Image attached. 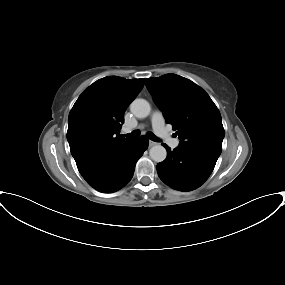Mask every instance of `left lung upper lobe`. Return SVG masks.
<instances>
[{"label":"left lung upper lobe","mask_w":285,"mask_h":285,"mask_svg":"<svg viewBox=\"0 0 285 285\" xmlns=\"http://www.w3.org/2000/svg\"><path fill=\"white\" fill-rule=\"evenodd\" d=\"M146 86L180 139L179 146L219 157L224 128L209 95L189 79L176 74L146 79Z\"/></svg>","instance_id":"1"}]
</instances>
